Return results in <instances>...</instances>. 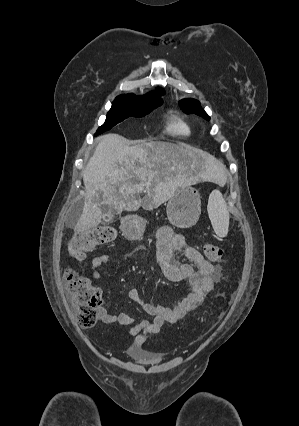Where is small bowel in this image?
Returning <instances> with one entry per match:
<instances>
[{
    "label": "small bowel",
    "instance_id": "c3829d8e",
    "mask_svg": "<svg viewBox=\"0 0 299 426\" xmlns=\"http://www.w3.org/2000/svg\"><path fill=\"white\" fill-rule=\"evenodd\" d=\"M182 253L191 263H181L175 255ZM156 259L164 276L174 283L188 285L187 296L176 302L172 307H163L146 302L139 291L132 288L128 297L140 305L143 311L152 317V320H136L127 313L116 314L104 307L98 310L100 320L105 324L119 323L128 326L126 334L134 338L127 353L131 357L152 362L156 355L143 348L148 335L158 333L165 322L173 323L184 317L188 312L195 310L204 300L207 293L214 289L220 278L219 269L194 247L188 246L183 235L175 233L169 226L159 228L157 232ZM111 260L109 254H102L92 260V277H100L101 268Z\"/></svg>",
    "mask_w": 299,
    "mask_h": 426
}]
</instances>
